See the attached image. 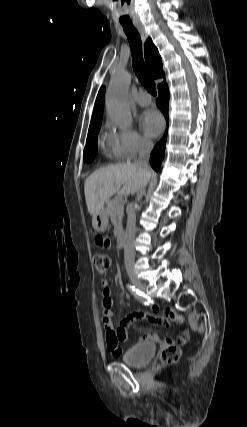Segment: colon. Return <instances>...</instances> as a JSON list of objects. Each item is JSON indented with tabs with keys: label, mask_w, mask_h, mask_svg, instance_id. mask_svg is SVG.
<instances>
[{
	"label": "colon",
	"mask_w": 247,
	"mask_h": 427,
	"mask_svg": "<svg viewBox=\"0 0 247 427\" xmlns=\"http://www.w3.org/2000/svg\"><path fill=\"white\" fill-rule=\"evenodd\" d=\"M93 263L99 273H105L110 265V259L105 254H96L93 257ZM180 349L176 346H167L161 354V359L165 363L175 362L179 359Z\"/></svg>",
	"instance_id": "5ec220e1"
}]
</instances>
